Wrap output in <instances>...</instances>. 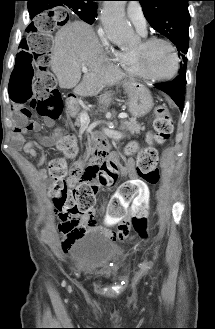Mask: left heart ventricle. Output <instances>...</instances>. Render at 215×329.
Masks as SVG:
<instances>
[{
    "label": "left heart ventricle",
    "mask_w": 215,
    "mask_h": 329,
    "mask_svg": "<svg viewBox=\"0 0 215 329\" xmlns=\"http://www.w3.org/2000/svg\"><path fill=\"white\" fill-rule=\"evenodd\" d=\"M175 67V59L171 49L163 44H154L147 52L145 69L154 76L169 75Z\"/></svg>",
    "instance_id": "left-heart-ventricle-1"
}]
</instances>
